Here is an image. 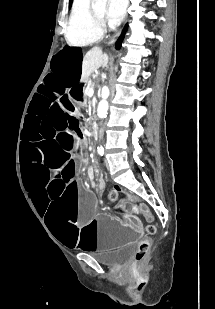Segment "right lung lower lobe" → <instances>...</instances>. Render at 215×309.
Segmentation results:
<instances>
[{
  "label": "right lung lower lobe",
  "instance_id": "obj_1",
  "mask_svg": "<svg viewBox=\"0 0 215 309\" xmlns=\"http://www.w3.org/2000/svg\"><path fill=\"white\" fill-rule=\"evenodd\" d=\"M126 29H127V25L125 26V28H124V30H123V32H122V35L120 36V38L117 40V42H116V48L118 49V48H120V46H121V43H122V40H123V38H124V34H125V32H126Z\"/></svg>",
  "mask_w": 215,
  "mask_h": 309
}]
</instances>
